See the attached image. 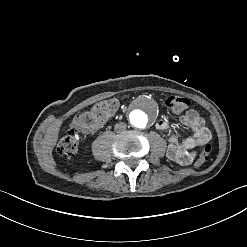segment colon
I'll use <instances>...</instances> for the list:
<instances>
[{"label":"colon","mask_w":247,"mask_h":247,"mask_svg":"<svg viewBox=\"0 0 247 247\" xmlns=\"http://www.w3.org/2000/svg\"><path fill=\"white\" fill-rule=\"evenodd\" d=\"M123 99L118 96H105L104 100L98 101V107H92L90 114L96 116L97 122H108L109 116L115 115V109L118 104H121ZM190 103L186 97H169L165 101L167 109L173 111L175 114H180L183 110L189 107ZM76 121L79 123L90 124L92 118L89 116L77 117ZM79 135L74 129L67 131L60 139L58 144V152L65 156H72L78 149ZM211 143L208 141L199 153L197 160L194 163V167L201 168L208 160L211 154Z\"/></svg>","instance_id":"1"}]
</instances>
